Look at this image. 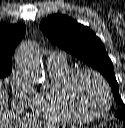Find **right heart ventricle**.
I'll use <instances>...</instances> for the list:
<instances>
[{"mask_svg": "<svg viewBox=\"0 0 125 128\" xmlns=\"http://www.w3.org/2000/svg\"><path fill=\"white\" fill-rule=\"evenodd\" d=\"M47 67L49 83L44 85L40 91H35L30 104L32 114L40 119L55 123L82 124L84 120L69 109L62 94L63 84L73 70L65 61L48 63Z\"/></svg>", "mask_w": 125, "mask_h": 128, "instance_id": "right-heart-ventricle-1", "label": "right heart ventricle"}]
</instances>
